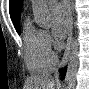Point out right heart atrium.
Instances as JSON below:
<instances>
[{"label": "right heart atrium", "mask_w": 89, "mask_h": 89, "mask_svg": "<svg viewBox=\"0 0 89 89\" xmlns=\"http://www.w3.org/2000/svg\"><path fill=\"white\" fill-rule=\"evenodd\" d=\"M43 44H44L45 50L48 53L52 54V44H53L52 38H51L49 32H47V31L43 32Z\"/></svg>", "instance_id": "obj_1"}]
</instances>
